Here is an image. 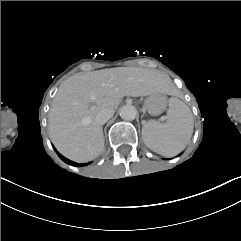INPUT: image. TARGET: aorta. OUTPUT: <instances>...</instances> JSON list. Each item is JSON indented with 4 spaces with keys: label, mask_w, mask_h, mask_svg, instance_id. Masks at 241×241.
<instances>
[{
    "label": "aorta",
    "mask_w": 241,
    "mask_h": 241,
    "mask_svg": "<svg viewBox=\"0 0 241 241\" xmlns=\"http://www.w3.org/2000/svg\"><path fill=\"white\" fill-rule=\"evenodd\" d=\"M137 116V110L133 105H124L120 109V117L125 121H132Z\"/></svg>",
    "instance_id": "aorta-1"
}]
</instances>
